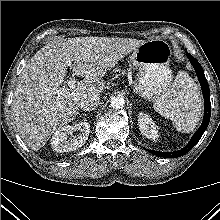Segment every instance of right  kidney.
Here are the masks:
<instances>
[{
	"instance_id": "obj_1",
	"label": "right kidney",
	"mask_w": 220,
	"mask_h": 220,
	"mask_svg": "<svg viewBox=\"0 0 220 220\" xmlns=\"http://www.w3.org/2000/svg\"><path fill=\"white\" fill-rule=\"evenodd\" d=\"M74 131L79 132L77 136H72ZM90 133V124L88 122H80L73 126L65 125L56 130L51 138V147L56 152H70L83 146L88 139Z\"/></svg>"
}]
</instances>
